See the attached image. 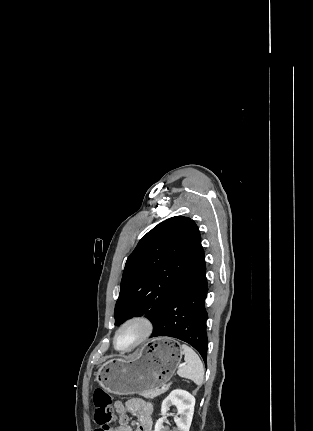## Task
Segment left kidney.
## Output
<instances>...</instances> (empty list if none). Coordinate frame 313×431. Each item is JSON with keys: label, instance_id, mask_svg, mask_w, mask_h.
<instances>
[{"label": "left kidney", "instance_id": "obj_1", "mask_svg": "<svg viewBox=\"0 0 313 431\" xmlns=\"http://www.w3.org/2000/svg\"><path fill=\"white\" fill-rule=\"evenodd\" d=\"M171 405L176 406L178 411L175 418L178 431H189L194 414L195 398L189 392L179 389L173 390L163 401L161 407L162 417L157 420L154 431H166L163 423Z\"/></svg>", "mask_w": 313, "mask_h": 431}]
</instances>
